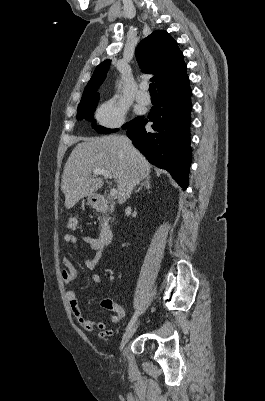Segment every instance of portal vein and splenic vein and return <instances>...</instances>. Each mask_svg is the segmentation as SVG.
<instances>
[{
    "mask_svg": "<svg viewBox=\"0 0 265 401\" xmlns=\"http://www.w3.org/2000/svg\"><path fill=\"white\" fill-rule=\"evenodd\" d=\"M92 172H93V174H103V176H105V178H112V174H110L109 170H103V168H94V170H92ZM110 194H111V196H116V194H117L116 188H111Z\"/></svg>",
    "mask_w": 265,
    "mask_h": 401,
    "instance_id": "1",
    "label": "portal vein and splenic vein"
}]
</instances>
